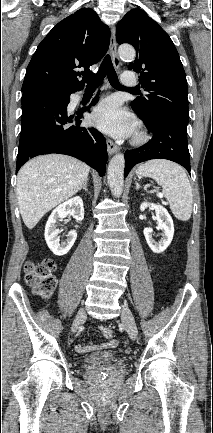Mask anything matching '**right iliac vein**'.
<instances>
[{"label": "right iliac vein", "mask_w": 213, "mask_h": 433, "mask_svg": "<svg viewBox=\"0 0 213 433\" xmlns=\"http://www.w3.org/2000/svg\"><path fill=\"white\" fill-rule=\"evenodd\" d=\"M86 311L85 309H80L75 317V320L72 324V332H76L80 324L86 319Z\"/></svg>", "instance_id": "63e3f726"}]
</instances>
